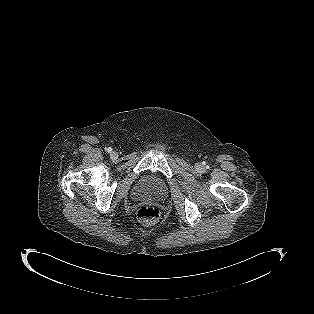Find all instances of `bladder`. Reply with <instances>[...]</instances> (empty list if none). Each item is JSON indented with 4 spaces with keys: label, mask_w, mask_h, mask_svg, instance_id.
Wrapping results in <instances>:
<instances>
[{
    "label": "bladder",
    "mask_w": 314,
    "mask_h": 314,
    "mask_svg": "<svg viewBox=\"0 0 314 314\" xmlns=\"http://www.w3.org/2000/svg\"><path fill=\"white\" fill-rule=\"evenodd\" d=\"M135 194L138 197H147L161 201L167 195V186L161 178L148 175L137 185Z\"/></svg>",
    "instance_id": "bladder-1"
}]
</instances>
